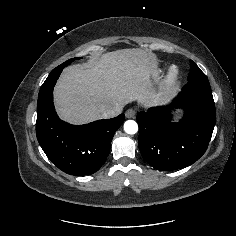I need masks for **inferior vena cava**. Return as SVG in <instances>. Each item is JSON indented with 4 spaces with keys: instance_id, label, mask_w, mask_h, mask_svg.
Returning a JSON list of instances; mask_svg holds the SVG:
<instances>
[{
    "instance_id": "inferior-vena-cava-1",
    "label": "inferior vena cava",
    "mask_w": 236,
    "mask_h": 236,
    "mask_svg": "<svg viewBox=\"0 0 236 236\" xmlns=\"http://www.w3.org/2000/svg\"><path fill=\"white\" fill-rule=\"evenodd\" d=\"M122 109H123V107H121V106H117L115 108L108 109L102 114V118H113V117L119 115L122 112Z\"/></svg>"
}]
</instances>
